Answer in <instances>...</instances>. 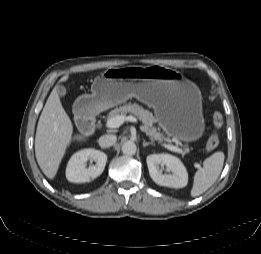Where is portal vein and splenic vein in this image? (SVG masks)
<instances>
[{"label":"portal vein and splenic vein","instance_id":"portal-vein-and-splenic-vein-1","mask_svg":"<svg viewBox=\"0 0 261 254\" xmlns=\"http://www.w3.org/2000/svg\"><path fill=\"white\" fill-rule=\"evenodd\" d=\"M125 121H129V122H133V123H137L138 120L136 117L130 115V116H116V117H113V118H110L107 120L106 122V127L107 128H118L120 127ZM142 130H144L142 128ZM163 146L171 151H174V152H181L182 153V150L176 146H173V145H170V144H163ZM196 167L197 168H201L200 164H196Z\"/></svg>","mask_w":261,"mask_h":254}]
</instances>
